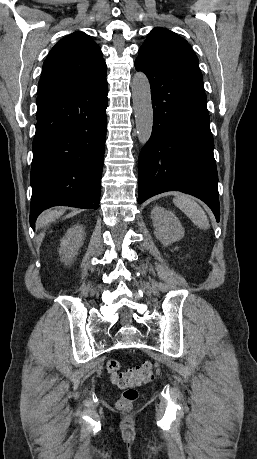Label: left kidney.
<instances>
[{"label": "left kidney", "mask_w": 257, "mask_h": 459, "mask_svg": "<svg viewBox=\"0 0 257 459\" xmlns=\"http://www.w3.org/2000/svg\"><path fill=\"white\" fill-rule=\"evenodd\" d=\"M154 235L164 246L183 238L184 229L175 214L161 206H155L151 211Z\"/></svg>", "instance_id": "5707ae66"}]
</instances>
